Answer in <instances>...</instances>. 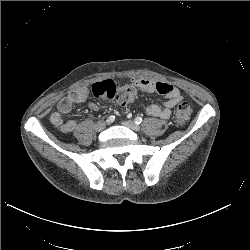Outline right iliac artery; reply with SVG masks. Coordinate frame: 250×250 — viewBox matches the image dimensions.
Here are the masks:
<instances>
[{
    "mask_svg": "<svg viewBox=\"0 0 250 250\" xmlns=\"http://www.w3.org/2000/svg\"><path fill=\"white\" fill-rule=\"evenodd\" d=\"M115 120V116L111 115L108 117V119L106 120L108 123H112Z\"/></svg>",
    "mask_w": 250,
    "mask_h": 250,
    "instance_id": "82829eb1",
    "label": "right iliac artery"
}]
</instances>
